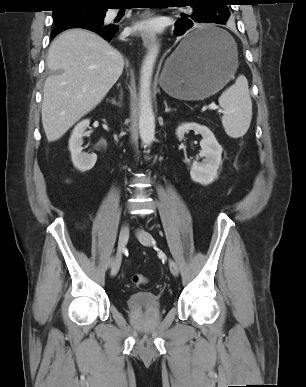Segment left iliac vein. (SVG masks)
Here are the masks:
<instances>
[{
	"label": "left iliac vein",
	"instance_id": "1",
	"mask_svg": "<svg viewBox=\"0 0 306 387\" xmlns=\"http://www.w3.org/2000/svg\"><path fill=\"white\" fill-rule=\"evenodd\" d=\"M137 237H138L141 244H143L145 246H152L153 245L152 235L150 233H148L147 231H145V230L138 231ZM169 268H170L171 273L174 276H178L179 268H178V265L176 264L175 261H173V260L169 261Z\"/></svg>",
	"mask_w": 306,
	"mask_h": 387
}]
</instances>
